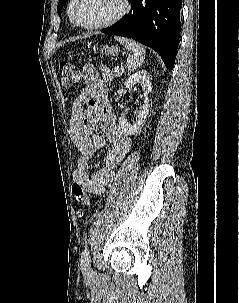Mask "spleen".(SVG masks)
<instances>
[{
    "label": "spleen",
    "instance_id": "3e777b00",
    "mask_svg": "<svg viewBox=\"0 0 239 303\" xmlns=\"http://www.w3.org/2000/svg\"><path fill=\"white\" fill-rule=\"evenodd\" d=\"M115 40L124 45V47L130 51L127 58V68L130 71L139 68L145 59L146 51L144 47L140 43L124 37H115Z\"/></svg>",
    "mask_w": 239,
    "mask_h": 303
}]
</instances>
